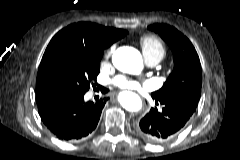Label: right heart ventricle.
Instances as JSON below:
<instances>
[{
	"mask_svg": "<svg viewBox=\"0 0 240 160\" xmlns=\"http://www.w3.org/2000/svg\"><path fill=\"white\" fill-rule=\"evenodd\" d=\"M140 44L144 56H158L162 58L165 54V45L162 40L155 35H145L141 38Z\"/></svg>",
	"mask_w": 240,
	"mask_h": 160,
	"instance_id": "e07e8e85",
	"label": "right heart ventricle"
}]
</instances>
